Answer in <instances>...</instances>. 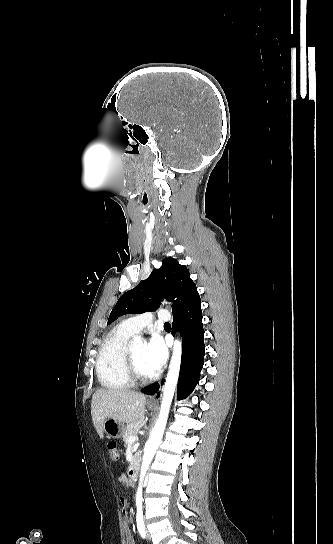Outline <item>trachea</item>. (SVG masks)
I'll list each match as a JSON object with an SVG mask.
<instances>
[{
	"label": "trachea",
	"mask_w": 333,
	"mask_h": 544,
	"mask_svg": "<svg viewBox=\"0 0 333 544\" xmlns=\"http://www.w3.org/2000/svg\"><path fill=\"white\" fill-rule=\"evenodd\" d=\"M164 326H171L170 323L166 322Z\"/></svg>",
	"instance_id": "1"
}]
</instances>
